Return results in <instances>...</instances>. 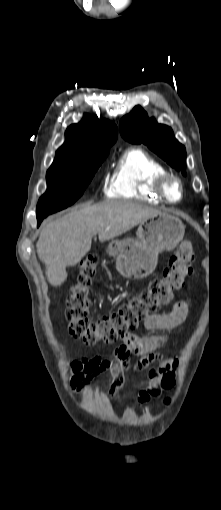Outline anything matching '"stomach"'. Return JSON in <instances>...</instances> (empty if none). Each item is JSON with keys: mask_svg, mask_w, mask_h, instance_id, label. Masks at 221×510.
<instances>
[{"mask_svg": "<svg viewBox=\"0 0 221 510\" xmlns=\"http://www.w3.org/2000/svg\"><path fill=\"white\" fill-rule=\"evenodd\" d=\"M184 233L185 226L178 217L160 212L140 223L136 239L113 240L107 251L116 257V269L120 275L138 280L153 272L159 253L173 250Z\"/></svg>", "mask_w": 221, "mask_h": 510, "instance_id": "0dacf381", "label": "stomach"}]
</instances>
